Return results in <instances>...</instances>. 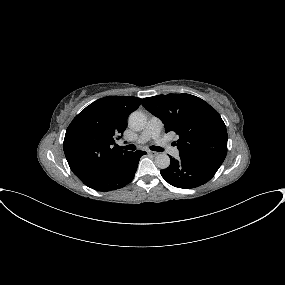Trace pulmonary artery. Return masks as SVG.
<instances>
[{"mask_svg":"<svg viewBox=\"0 0 285 285\" xmlns=\"http://www.w3.org/2000/svg\"><path fill=\"white\" fill-rule=\"evenodd\" d=\"M162 122L158 118H151L147 127L144 129V131L138 136L136 139L137 143H146L150 139H154L157 144L160 145H166L167 150L171 151L174 157H177L179 154V151L177 149H171V146L169 144H166V142H163L160 140V135L162 131Z\"/></svg>","mask_w":285,"mask_h":285,"instance_id":"1","label":"pulmonary artery"}]
</instances>
